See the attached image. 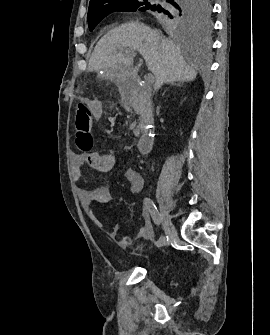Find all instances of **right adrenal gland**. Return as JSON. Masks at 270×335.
Returning a JSON list of instances; mask_svg holds the SVG:
<instances>
[{"instance_id": "1", "label": "right adrenal gland", "mask_w": 270, "mask_h": 335, "mask_svg": "<svg viewBox=\"0 0 270 335\" xmlns=\"http://www.w3.org/2000/svg\"><path fill=\"white\" fill-rule=\"evenodd\" d=\"M171 86H180V84H183V82H170ZM165 94V92H164Z\"/></svg>"}]
</instances>
